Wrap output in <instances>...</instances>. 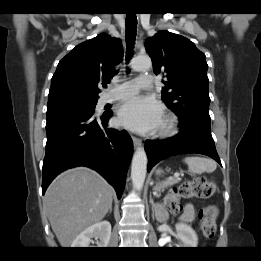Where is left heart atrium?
Listing matches in <instances>:
<instances>
[{
    "label": "left heart atrium",
    "mask_w": 261,
    "mask_h": 261,
    "mask_svg": "<svg viewBox=\"0 0 261 261\" xmlns=\"http://www.w3.org/2000/svg\"><path fill=\"white\" fill-rule=\"evenodd\" d=\"M118 121L122 126L136 132H152L163 124L162 107L152 97L134 96L121 104Z\"/></svg>",
    "instance_id": "left-heart-atrium-1"
}]
</instances>
